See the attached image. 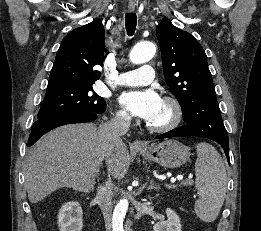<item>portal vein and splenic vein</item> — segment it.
<instances>
[{
	"instance_id": "1",
	"label": "portal vein and splenic vein",
	"mask_w": 261,
	"mask_h": 231,
	"mask_svg": "<svg viewBox=\"0 0 261 231\" xmlns=\"http://www.w3.org/2000/svg\"><path fill=\"white\" fill-rule=\"evenodd\" d=\"M174 182H175V180L172 179V180H171V183H174ZM183 183H184V184H192V180H184Z\"/></svg>"
}]
</instances>
